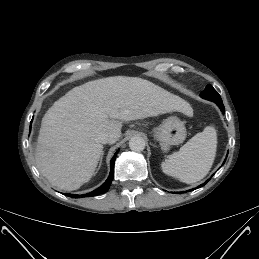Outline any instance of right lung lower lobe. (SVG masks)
I'll return each instance as SVG.
<instances>
[{
    "label": "right lung lower lobe",
    "instance_id": "1",
    "mask_svg": "<svg viewBox=\"0 0 259 259\" xmlns=\"http://www.w3.org/2000/svg\"><path fill=\"white\" fill-rule=\"evenodd\" d=\"M118 151H116L115 155L113 156V158L111 159V162H110V165H111V171H110V174H109V177L107 178V180L105 181L104 184H102L99 188H97L96 190L90 192V193H87V194H84V195H81V197H91V196H97L99 194H102V193H105L108 191L109 189V186L112 182V179H113V176H114V163H115V159H116V155H117ZM68 196H71L73 198H78L79 195H72V194H68Z\"/></svg>",
    "mask_w": 259,
    "mask_h": 259
}]
</instances>
